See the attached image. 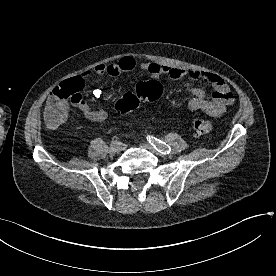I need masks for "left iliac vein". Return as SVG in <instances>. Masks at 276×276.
<instances>
[{
  "instance_id": "left-iliac-vein-1",
  "label": "left iliac vein",
  "mask_w": 276,
  "mask_h": 276,
  "mask_svg": "<svg viewBox=\"0 0 276 276\" xmlns=\"http://www.w3.org/2000/svg\"><path fill=\"white\" fill-rule=\"evenodd\" d=\"M141 147L148 149L149 151H151L152 153L156 154V155H161L162 153H160L158 150H156V148H154L153 146L147 144V143H142Z\"/></svg>"
}]
</instances>
